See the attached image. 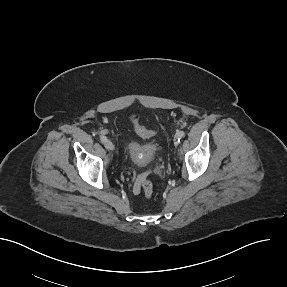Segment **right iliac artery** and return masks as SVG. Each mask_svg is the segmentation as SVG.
<instances>
[{"label":"right iliac artery","mask_w":287,"mask_h":287,"mask_svg":"<svg viewBox=\"0 0 287 287\" xmlns=\"http://www.w3.org/2000/svg\"><path fill=\"white\" fill-rule=\"evenodd\" d=\"M100 141L102 143H105L107 141V138L105 136H100Z\"/></svg>","instance_id":"right-iliac-artery-1"}]
</instances>
